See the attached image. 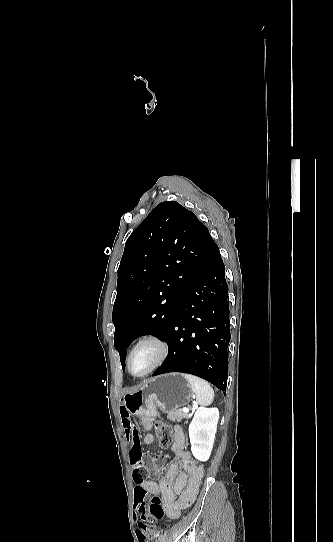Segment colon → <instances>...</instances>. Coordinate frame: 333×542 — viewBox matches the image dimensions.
<instances>
[{"label": "colon", "mask_w": 333, "mask_h": 542, "mask_svg": "<svg viewBox=\"0 0 333 542\" xmlns=\"http://www.w3.org/2000/svg\"><path fill=\"white\" fill-rule=\"evenodd\" d=\"M155 435L161 447H170L174 444L176 437L173 434L172 428L165 422L158 421L153 425ZM130 467L134 469V477L139 482H144L152 471L148 464L142 462L140 458H132ZM155 470L157 465L155 464ZM137 511L131 516V523L139 525V534H144L147 538L154 537L158 530V522L165 517V511L158 497L154 496L148 500L146 486L143 483H138L135 486L134 495Z\"/></svg>", "instance_id": "colon-1"}]
</instances>
